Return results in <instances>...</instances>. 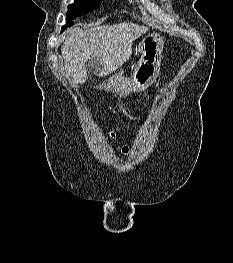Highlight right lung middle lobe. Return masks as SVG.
Segmentation results:
<instances>
[{"mask_svg":"<svg viewBox=\"0 0 233 263\" xmlns=\"http://www.w3.org/2000/svg\"><path fill=\"white\" fill-rule=\"evenodd\" d=\"M101 2L102 0H75V3L68 7L66 16L67 23L62 27V31L73 24V19L84 13L93 11Z\"/></svg>","mask_w":233,"mask_h":263,"instance_id":"1","label":"right lung middle lobe"}]
</instances>
